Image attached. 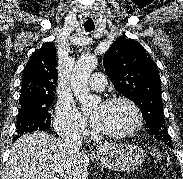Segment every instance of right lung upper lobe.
<instances>
[{
    "instance_id": "right-lung-upper-lobe-1",
    "label": "right lung upper lobe",
    "mask_w": 183,
    "mask_h": 179,
    "mask_svg": "<svg viewBox=\"0 0 183 179\" xmlns=\"http://www.w3.org/2000/svg\"><path fill=\"white\" fill-rule=\"evenodd\" d=\"M56 48L45 43L30 57L22 74L20 100L53 96L57 84Z\"/></svg>"
}]
</instances>
